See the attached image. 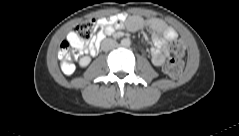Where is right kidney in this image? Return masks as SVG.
Listing matches in <instances>:
<instances>
[{"label": "right kidney", "mask_w": 239, "mask_h": 136, "mask_svg": "<svg viewBox=\"0 0 239 136\" xmlns=\"http://www.w3.org/2000/svg\"><path fill=\"white\" fill-rule=\"evenodd\" d=\"M90 60H91L90 57H87V56L82 57L79 61V64L81 67H85L90 63Z\"/></svg>", "instance_id": "ca27d5eb"}]
</instances>
